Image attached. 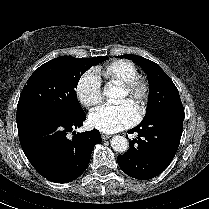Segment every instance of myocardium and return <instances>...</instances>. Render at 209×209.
I'll use <instances>...</instances> for the list:
<instances>
[{
	"mask_svg": "<svg viewBox=\"0 0 209 209\" xmlns=\"http://www.w3.org/2000/svg\"><path fill=\"white\" fill-rule=\"evenodd\" d=\"M128 95H133L138 89L142 90L141 102L137 109L138 116L141 118L147 110L149 98L151 95V86L149 81L140 75H136L126 83L120 85Z\"/></svg>",
	"mask_w": 209,
	"mask_h": 209,
	"instance_id": "f54148a6",
	"label": "myocardium"
}]
</instances>
